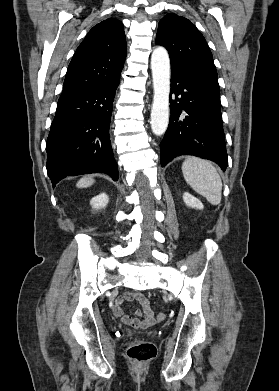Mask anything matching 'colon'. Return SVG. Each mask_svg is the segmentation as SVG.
<instances>
[{
	"label": "colon",
	"mask_w": 279,
	"mask_h": 391,
	"mask_svg": "<svg viewBox=\"0 0 279 391\" xmlns=\"http://www.w3.org/2000/svg\"><path fill=\"white\" fill-rule=\"evenodd\" d=\"M156 319L158 322H161L165 319V315L159 313ZM126 353L133 361L143 363L156 355V347L150 342L137 340L126 345Z\"/></svg>",
	"instance_id": "1"
}]
</instances>
